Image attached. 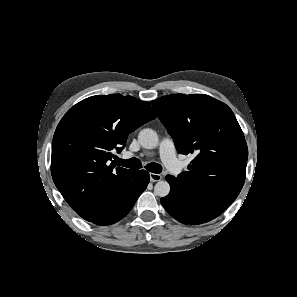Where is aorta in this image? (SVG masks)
Instances as JSON below:
<instances>
[{
  "label": "aorta",
  "mask_w": 297,
  "mask_h": 297,
  "mask_svg": "<svg viewBox=\"0 0 297 297\" xmlns=\"http://www.w3.org/2000/svg\"><path fill=\"white\" fill-rule=\"evenodd\" d=\"M138 141L143 148L153 149L157 147L158 135L149 128L143 129L139 132ZM170 192V185L166 180H160L155 184L154 193L159 197H165Z\"/></svg>",
  "instance_id": "aorta-1"
}]
</instances>
